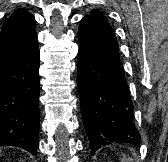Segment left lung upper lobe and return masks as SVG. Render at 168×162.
Here are the masks:
<instances>
[{"label": "left lung upper lobe", "mask_w": 168, "mask_h": 162, "mask_svg": "<svg viewBox=\"0 0 168 162\" xmlns=\"http://www.w3.org/2000/svg\"><path fill=\"white\" fill-rule=\"evenodd\" d=\"M91 13H92V14H95V15H99V16L103 17L104 19H106V18L103 16V14H102L100 11H98V10H92ZM106 20H107V19H106Z\"/></svg>", "instance_id": "obj_1"}]
</instances>
